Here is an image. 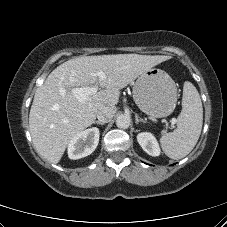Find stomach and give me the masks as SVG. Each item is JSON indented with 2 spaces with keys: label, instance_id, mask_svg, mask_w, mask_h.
<instances>
[{
  "label": "stomach",
  "instance_id": "stomach-1",
  "mask_svg": "<svg viewBox=\"0 0 227 227\" xmlns=\"http://www.w3.org/2000/svg\"><path fill=\"white\" fill-rule=\"evenodd\" d=\"M133 98L142 112L155 118H163L169 116L176 107L177 87L165 71L151 68L136 80Z\"/></svg>",
  "mask_w": 227,
  "mask_h": 227
}]
</instances>
